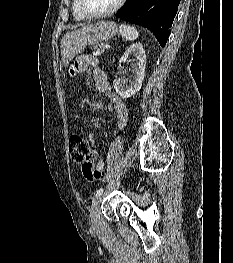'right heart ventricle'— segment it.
Returning a JSON list of instances; mask_svg holds the SVG:
<instances>
[{
  "mask_svg": "<svg viewBox=\"0 0 233 263\" xmlns=\"http://www.w3.org/2000/svg\"><path fill=\"white\" fill-rule=\"evenodd\" d=\"M72 10H73V16L76 20H84L85 19V17L80 13V11L78 9L77 0H74Z\"/></svg>",
  "mask_w": 233,
  "mask_h": 263,
  "instance_id": "e07e8e85",
  "label": "right heart ventricle"
}]
</instances>
